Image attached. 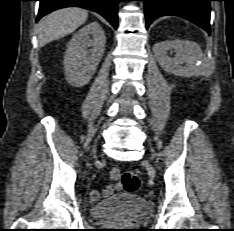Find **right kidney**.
I'll use <instances>...</instances> for the list:
<instances>
[{"label": "right kidney", "mask_w": 234, "mask_h": 231, "mask_svg": "<svg viewBox=\"0 0 234 231\" xmlns=\"http://www.w3.org/2000/svg\"><path fill=\"white\" fill-rule=\"evenodd\" d=\"M91 47L90 55L87 48ZM105 51V34L94 21L70 40L64 54V72L69 83L81 87L89 83Z\"/></svg>", "instance_id": "obj_1"}]
</instances>
